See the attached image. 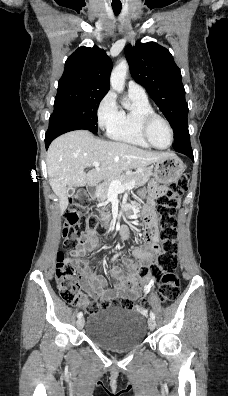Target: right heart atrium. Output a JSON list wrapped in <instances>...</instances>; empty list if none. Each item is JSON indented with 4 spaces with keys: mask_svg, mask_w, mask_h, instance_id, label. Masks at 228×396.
Segmentation results:
<instances>
[{
    "mask_svg": "<svg viewBox=\"0 0 228 396\" xmlns=\"http://www.w3.org/2000/svg\"><path fill=\"white\" fill-rule=\"evenodd\" d=\"M97 122L101 129L108 130L119 119L120 109L112 93L108 92L97 107Z\"/></svg>",
    "mask_w": 228,
    "mask_h": 396,
    "instance_id": "obj_1",
    "label": "right heart atrium"
}]
</instances>
